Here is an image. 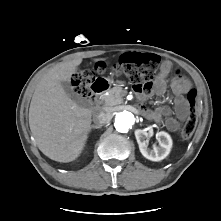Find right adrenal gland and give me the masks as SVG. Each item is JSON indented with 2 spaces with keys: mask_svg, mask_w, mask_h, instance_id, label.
Instances as JSON below:
<instances>
[{
  "mask_svg": "<svg viewBox=\"0 0 221 221\" xmlns=\"http://www.w3.org/2000/svg\"><path fill=\"white\" fill-rule=\"evenodd\" d=\"M100 127L99 126H97V125H91V127H90V131L92 130V129H99Z\"/></svg>",
  "mask_w": 221,
  "mask_h": 221,
  "instance_id": "right-adrenal-gland-1",
  "label": "right adrenal gland"
}]
</instances>
